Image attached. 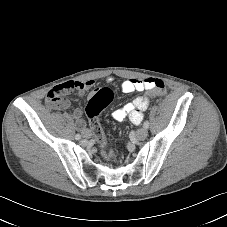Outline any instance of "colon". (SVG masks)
<instances>
[{"label":"colon","instance_id":"5ec220e1","mask_svg":"<svg viewBox=\"0 0 227 227\" xmlns=\"http://www.w3.org/2000/svg\"><path fill=\"white\" fill-rule=\"evenodd\" d=\"M74 87H78L79 84L72 85ZM166 91L165 84L160 79H153L152 80V87L150 89V93L148 96H156V95H162ZM58 94L55 91H52L50 93V97L54 100ZM113 100V92L109 88H102L98 92H96L91 99L89 100L87 104V115L90 120V127L92 130L93 135L98 140V142L101 144L102 148V154L105 158L111 159L114 157V153L111 150V148L108 146L104 132L100 126L98 117L102 110L108 106Z\"/></svg>","mask_w":227,"mask_h":227}]
</instances>
